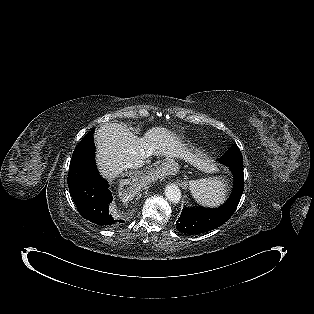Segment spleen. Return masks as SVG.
I'll return each mask as SVG.
<instances>
[{
    "label": "spleen",
    "instance_id": "spleen-1",
    "mask_svg": "<svg viewBox=\"0 0 314 314\" xmlns=\"http://www.w3.org/2000/svg\"><path fill=\"white\" fill-rule=\"evenodd\" d=\"M227 181L222 177H209L190 182V191L197 203L215 207L222 204L226 199Z\"/></svg>",
    "mask_w": 314,
    "mask_h": 314
}]
</instances>
